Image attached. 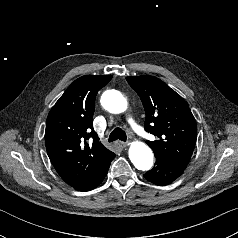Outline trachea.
<instances>
[{"instance_id": "trachea-1", "label": "trachea", "mask_w": 238, "mask_h": 238, "mask_svg": "<svg viewBox=\"0 0 238 238\" xmlns=\"http://www.w3.org/2000/svg\"><path fill=\"white\" fill-rule=\"evenodd\" d=\"M121 140V141H126L127 140V136H126V133L121 129V128H115L109 138H108V141L109 142H113V141H116V140Z\"/></svg>"}]
</instances>
